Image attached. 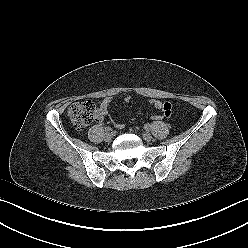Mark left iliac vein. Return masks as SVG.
Here are the masks:
<instances>
[{
    "mask_svg": "<svg viewBox=\"0 0 248 248\" xmlns=\"http://www.w3.org/2000/svg\"><path fill=\"white\" fill-rule=\"evenodd\" d=\"M142 136L146 141H151L153 139L152 135L149 132L143 133Z\"/></svg>",
    "mask_w": 248,
    "mask_h": 248,
    "instance_id": "left-iliac-vein-1",
    "label": "left iliac vein"
}]
</instances>
